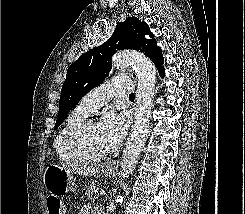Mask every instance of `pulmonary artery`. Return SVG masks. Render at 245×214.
Returning <instances> with one entry per match:
<instances>
[{
    "mask_svg": "<svg viewBox=\"0 0 245 214\" xmlns=\"http://www.w3.org/2000/svg\"><path fill=\"white\" fill-rule=\"evenodd\" d=\"M132 89L133 85L129 78L114 77L88 92L79 106L89 114L106 104L114 95L129 93Z\"/></svg>",
    "mask_w": 245,
    "mask_h": 214,
    "instance_id": "1",
    "label": "pulmonary artery"
}]
</instances>
